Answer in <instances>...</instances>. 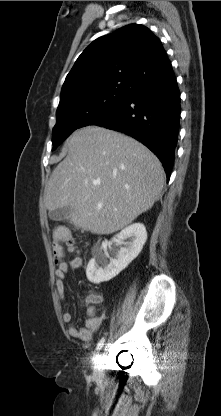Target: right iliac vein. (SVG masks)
<instances>
[{"label":"right iliac vein","mask_w":221,"mask_h":416,"mask_svg":"<svg viewBox=\"0 0 221 416\" xmlns=\"http://www.w3.org/2000/svg\"><path fill=\"white\" fill-rule=\"evenodd\" d=\"M99 366H100V365L97 363V364H96V369H97V368H99Z\"/></svg>","instance_id":"1"}]
</instances>
